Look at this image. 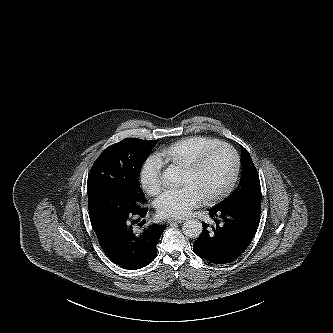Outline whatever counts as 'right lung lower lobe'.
Wrapping results in <instances>:
<instances>
[{
    "label": "right lung lower lobe",
    "mask_w": 333,
    "mask_h": 333,
    "mask_svg": "<svg viewBox=\"0 0 333 333\" xmlns=\"http://www.w3.org/2000/svg\"><path fill=\"white\" fill-rule=\"evenodd\" d=\"M147 209L142 208L135 218L146 216ZM130 216L126 220L108 219L92 224L104 253L117 265L125 269H140L149 265L157 255L156 245L166 228L153 224L142 233H135Z\"/></svg>",
    "instance_id": "98d812e1"
}]
</instances>
